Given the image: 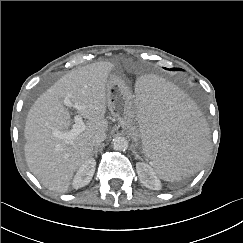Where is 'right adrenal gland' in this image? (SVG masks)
Returning a JSON list of instances; mask_svg holds the SVG:
<instances>
[{"instance_id": "right-adrenal-gland-1", "label": "right adrenal gland", "mask_w": 243, "mask_h": 243, "mask_svg": "<svg viewBox=\"0 0 243 243\" xmlns=\"http://www.w3.org/2000/svg\"><path fill=\"white\" fill-rule=\"evenodd\" d=\"M97 153H98V146L95 147L91 155L92 156L95 155V157H97Z\"/></svg>"}]
</instances>
